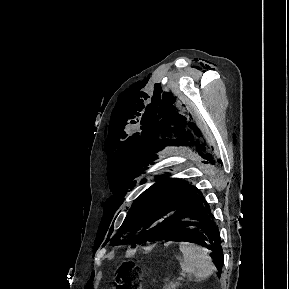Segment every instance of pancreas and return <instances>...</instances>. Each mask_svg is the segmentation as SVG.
I'll return each instance as SVG.
<instances>
[{
  "mask_svg": "<svg viewBox=\"0 0 289 289\" xmlns=\"http://www.w3.org/2000/svg\"><path fill=\"white\" fill-rule=\"evenodd\" d=\"M177 287H178L177 283H169L165 285L163 289H177Z\"/></svg>",
  "mask_w": 289,
  "mask_h": 289,
  "instance_id": "cf45deb5",
  "label": "pancreas"
}]
</instances>
